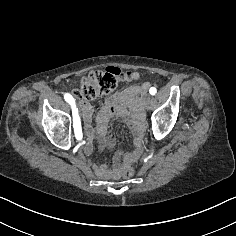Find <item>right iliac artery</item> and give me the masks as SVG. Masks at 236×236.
Listing matches in <instances>:
<instances>
[{
    "label": "right iliac artery",
    "mask_w": 236,
    "mask_h": 236,
    "mask_svg": "<svg viewBox=\"0 0 236 236\" xmlns=\"http://www.w3.org/2000/svg\"><path fill=\"white\" fill-rule=\"evenodd\" d=\"M64 99L71 105V108H72L73 128L75 132V137L77 140H81L83 137V134H82V129H81L80 117L78 115V109L76 108V105H75V100L72 97V95H70L69 93H65Z\"/></svg>",
    "instance_id": "obj_1"
}]
</instances>
